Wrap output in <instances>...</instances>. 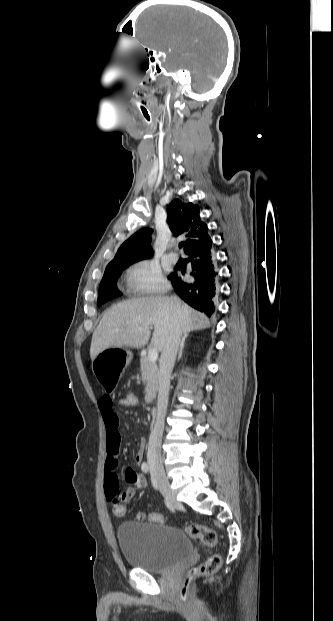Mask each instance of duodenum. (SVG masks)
I'll return each instance as SVG.
<instances>
[{"label": "duodenum", "mask_w": 333, "mask_h": 621, "mask_svg": "<svg viewBox=\"0 0 333 621\" xmlns=\"http://www.w3.org/2000/svg\"><path fill=\"white\" fill-rule=\"evenodd\" d=\"M156 419H157V414H156V412H155V411H153V412L151 413V423H150L151 428H153V427H154V425H155V423H156Z\"/></svg>", "instance_id": "duodenum-1"}]
</instances>
